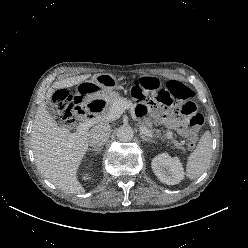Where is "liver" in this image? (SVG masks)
<instances>
[{
    "label": "liver",
    "instance_id": "liver-1",
    "mask_svg": "<svg viewBox=\"0 0 248 248\" xmlns=\"http://www.w3.org/2000/svg\"><path fill=\"white\" fill-rule=\"evenodd\" d=\"M91 74L74 76L54 82L46 93L51 98L55 90L72 87ZM89 131L70 133L58 126L42 103L35 115L31 132V146L35 163L41 174L59 189L72 194L85 190L78 181L77 170L88 149Z\"/></svg>",
    "mask_w": 248,
    "mask_h": 248
}]
</instances>
